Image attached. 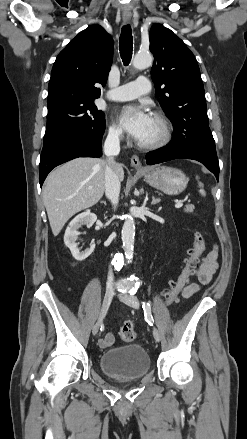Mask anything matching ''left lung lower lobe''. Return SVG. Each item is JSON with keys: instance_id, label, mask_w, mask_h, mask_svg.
Returning <instances> with one entry per match:
<instances>
[{"instance_id": "obj_1", "label": "left lung lower lobe", "mask_w": 247, "mask_h": 439, "mask_svg": "<svg viewBox=\"0 0 247 439\" xmlns=\"http://www.w3.org/2000/svg\"><path fill=\"white\" fill-rule=\"evenodd\" d=\"M181 158L193 159L201 162L207 167L208 170H210L216 176L217 180L219 179V164H215L206 156L184 150L173 141H171L170 144H168L167 146L156 151H151L146 155L148 165L158 164L165 161Z\"/></svg>"}]
</instances>
